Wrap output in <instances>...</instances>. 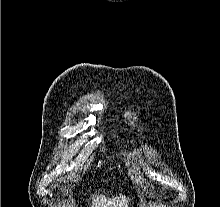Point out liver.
Returning a JSON list of instances; mask_svg holds the SVG:
<instances>
[{"label":"liver","instance_id":"1","mask_svg":"<svg viewBox=\"0 0 220 207\" xmlns=\"http://www.w3.org/2000/svg\"><path fill=\"white\" fill-rule=\"evenodd\" d=\"M94 198V196H93ZM128 201L125 197L115 198V199H106L105 197H97L94 199L92 207H127Z\"/></svg>","mask_w":220,"mask_h":207}]
</instances>
